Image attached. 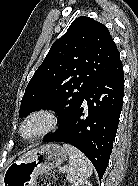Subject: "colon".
Here are the masks:
<instances>
[{"label": "colon", "mask_w": 138, "mask_h": 186, "mask_svg": "<svg viewBox=\"0 0 138 186\" xmlns=\"http://www.w3.org/2000/svg\"><path fill=\"white\" fill-rule=\"evenodd\" d=\"M37 186H64V177L58 172L43 174L38 178Z\"/></svg>", "instance_id": "obj_1"}]
</instances>
